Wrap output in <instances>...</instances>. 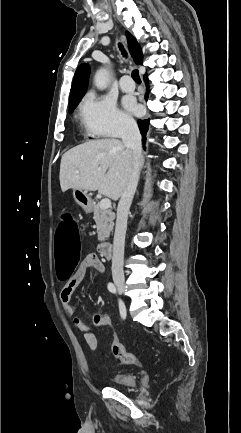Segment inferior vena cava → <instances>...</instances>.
<instances>
[{
  "instance_id": "obj_1",
  "label": "inferior vena cava",
  "mask_w": 241,
  "mask_h": 433,
  "mask_svg": "<svg viewBox=\"0 0 241 433\" xmlns=\"http://www.w3.org/2000/svg\"><path fill=\"white\" fill-rule=\"evenodd\" d=\"M121 138L124 146L133 151V171L121 195L117 208L112 256V277L114 281H124L123 262L127 218L138 185L142 160L141 134L134 120L125 122Z\"/></svg>"
}]
</instances>
